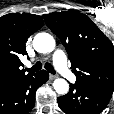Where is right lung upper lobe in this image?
<instances>
[{"label":"right lung upper lobe","instance_id":"obj_1","mask_svg":"<svg viewBox=\"0 0 114 114\" xmlns=\"http://www.w3.org/2000/svg\"><path fill=\"white\" fill-rule=\"evenodd\" d=\"M38 15L10 13L0 18V88L31 74L21 70L28 38L43 26Z\"/></svg>","mask_w":114,"mask_h":114}]
</instances>
